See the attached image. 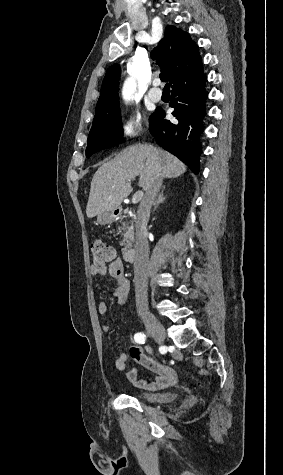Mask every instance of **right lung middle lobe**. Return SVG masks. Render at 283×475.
Masks as SVG:
<instances>
[{"instance_id":"dd1d6c3e","label":"right lung middle lobe","mask_w":283,"mask_h":475,"mask_svg":"<svg viewBox=\"0 0 283 475\" xmlns=\"http://www.w3.org/2000/svg\"><path fill=\"white\" fill-rule=\"evenodd\" d=\"M122 134L119 105L97 107L88 136L86 157H90L102 149L120 144Z\"/></svg>"}]
</instances>
